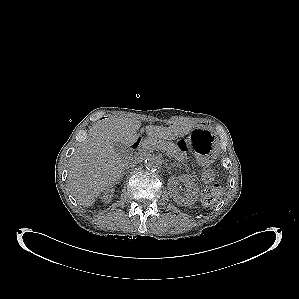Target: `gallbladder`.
Here are the masks:
<instances>
[{
  "label": "gallbladder",
  "instance_id": "bac80fb5",
  "mask_svg": "<svg viewBox=\"0 0 299 299\" xmlns=\"http://www.w3.org/2000/svg\"><path fill=\"white\" fill-rule=\"evenodd\" d=\"M114 150L117 154H119L122 157L130 155V150L125 145L121 144L120 142H116L114 144Z\"/></svg>",
  "mask_w": 299,
  "mask_h": 299
}]
</instances>
